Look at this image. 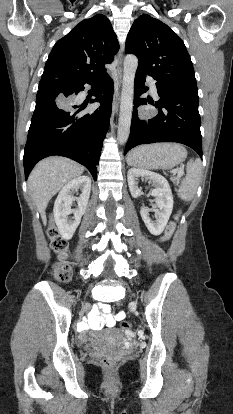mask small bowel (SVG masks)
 <instances>
[{"mask_svg": "<svg viewBox=\"0 0 233 414\" xmlns=\"http://www.w3.org/2000/svg\"><path fill=\"white\" fill-rule=\"evenodd\" d=\"M123 318L124 312L112 314L111 306L108 303L97 300L88 318L78 323V328L80 331H86L88 329L100 330L104 327L111 328L115 326L117 321Z\"/></svg>", "mask_w": 233, "mask_h": 414, "instance_id": "obj_1", "label": "small bowel"}]
</instances>
